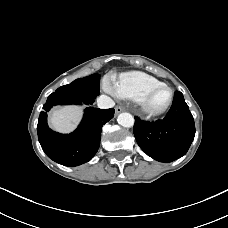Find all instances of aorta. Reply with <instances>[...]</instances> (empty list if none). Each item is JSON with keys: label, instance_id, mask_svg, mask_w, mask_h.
Listing matches in <instances>:
<instances>
[{"label": "aorta", "instance_id": "aorta-1", "mask_svg": "<svg viewBox=\"0 0 228 228\" xmlns=\"http://www.w3.org/2000/svg\"><path fill=\"white\" fill-rule=\"evenodd\" d=\"M118 124L123 127L130 128L134 125V117L127 112L120 113L117 118Z\"/></svg>", "mask_w": 228, "mask_h": 228}]
</instances>
